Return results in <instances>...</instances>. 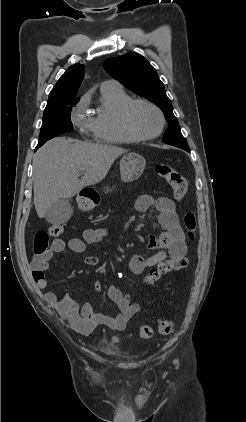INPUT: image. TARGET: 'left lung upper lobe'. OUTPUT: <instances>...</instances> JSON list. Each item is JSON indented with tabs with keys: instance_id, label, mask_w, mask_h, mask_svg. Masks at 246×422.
<instances>
[{
	"instance_id": "obj_1",
	"label": "left lung upper lobe",
	"mask_w": 246,
	"mask_h": 422,
	"mask_svg": "<svg viewBox=\"0 0 246 422\" xmlns=\"http://www.w3.org/2000/svg\"><path fill=\"white\" fill-rule=\"evenodd\" d=\"M104 69L127 89L158 105L164 112L169 127L163 142L189 151L180 131L172 104L154 67L140 54L132 52L104 62Z\"/></svg>"
}]
</instances>
